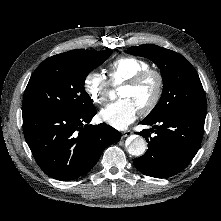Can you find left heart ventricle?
<instances>
[{
  "instance_id": "obj_1",
  "label": "left heart ventricle",
  "mask_w": 221,
  "mask_h": 221,
  "mask_svg": "<svg viewBox=\"0 0 221 221\" xmlns=\"http://www.w3.org/2000/svg\"><path fill=\"white\" fill-rule=\"evenodd\" d=\"M155 89V79L149 78L139 86H121L118 94L121 98H128L133 101L137 108L140 109L150 102L154 96Z\"/></svg>"
}]
</instances>
